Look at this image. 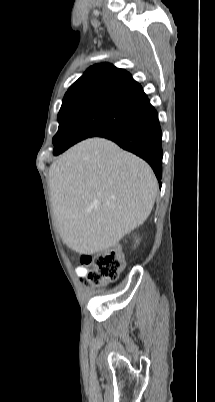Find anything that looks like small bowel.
Masks as SVG:
<instances>
[{
  "mask_svg": "<svg viewBox=\"0 0 215 402\" xmlns=\"http://www.w3.org/2000/svg\"><path fill=\"white\" fill-rule=\"evenodd\" d=\"M76 273L80 277H85L87 275V273H88V270L86 268H84V267H78L76 269Z\"/></svg>",
  "mask_w": 215,
  "mask_h": 402,
  "instance_id": "c3829d8e",
  "label": "small bowel"
}]
</instances>
